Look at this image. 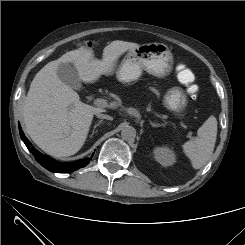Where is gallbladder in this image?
I'll use <instances>...</instances> for the list:
<instances>
[{
	"label": "gallbladder",
	"mask_w": 245,
	"mask_h": 245,
	"mask_svg": "<svg viewBox=\"0 0 245 245\" xmlns=\"http://www.w3.org/2000/svg\"><path fill=\"white\" fill-rule=\"evenodd\" d=\"M57 75L62 82L73 89L79 90L82 87L81 81L78 77L74 67L68 63H62L58 66Z\"/></svg>",
	"instance_id": "obj_1"
}]
</instances>
